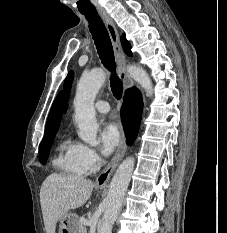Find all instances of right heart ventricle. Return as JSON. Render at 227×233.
I'll return each mask as SVG.
<instances>
[{
  "mask_svg": "<svg viewBox=\"0 0 227 233\" xmlns=\"http://www.w3.org/2000/svg\"><path fill=\"white\" fill-rule=\"evenodd\" d=\"M53 163L58 170L68 175L83 176L85 174L79 159V145L70 140H65L59 145Z\"/></svg>",
  "mask_w": 227,
  "mask_h": 233,
  "instance_id": "right-heart-ventricle-1",
  "label": "right heart ventricle"
}]
</instances>
